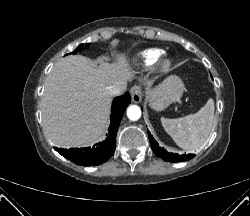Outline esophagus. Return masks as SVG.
Returning a JSON list of instances; mask_svg holds the SVG:
<instances>
[{
    "label": "esophagus",
    "instance_id": "esophagus-1",
    "mask_svg": "<svg viewBox=\"0 0 250 216\" xmlns=\"http://www.w3.org/2000/svg\"><path fill=\"white\" fill-rule=\"evenodd\" d=\"M131 99L134 103H138L141 100V88L139 86H133L130 89Z\"/></svg>",
    "mask_w": 250,
    "mask_h": 216
}]
</instances>
